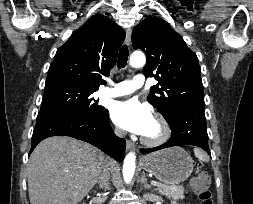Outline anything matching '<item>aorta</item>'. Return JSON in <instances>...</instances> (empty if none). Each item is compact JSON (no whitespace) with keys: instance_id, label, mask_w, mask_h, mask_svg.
Returning a JSON list of instances; mask_svg holds the SVG:
<instances>
[{"instance_id":"762f6f07","label":"aorta","mask_w":253,"mask_h":204,"mask_svg":"<svg viewBox=\"0 0 253 204\" xmlns=\"http://www.w3.org/2000/svg\"><path fill=\"white\" fill-rule=\"evenodd\" d=\"M146 62V58L143 52H133L130 57V65L132 67H142ZM136 157L133 152L127 154L123 164V178L126 183H129L134 175Z\"/></svg>"}]
</instances>
